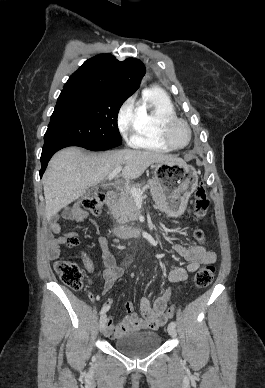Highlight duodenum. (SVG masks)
Listing matches in <instances>:
<instances>
[{
  "instance_id": "410a0bca",
  "label": "duodenum",
  "mask_w": 265,
  "mask_h": 388,
  "mask_svg": "<svg viewBox=\"0 0 265 388\" xmlns=\"http://www.w3.org/2000/svg\"><path fill=\"white\" fill-rule=\"evenodd\" d=\"M118 198V194L115 191H110L106 196V203L109 207H112L116 204ZM114 232L119 237L128 238V237H136L142 233V228L140 226H125L119 225L115 227Z\"/></svg>"
}]
</instances>
